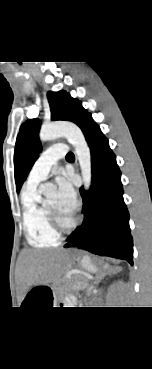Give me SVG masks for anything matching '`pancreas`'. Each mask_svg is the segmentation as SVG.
I'll list each match as a JSON object with an SVG mask.
<instances>
[{"instance_id":"obj_1","label":"pancreas","mask_w":152,"mask_h":369,"mask_svg":"<svg viewBox=\"0 0 152 369\" xmlns=\"http://www.w3.org/2000/svg\"><path fill=\"white\" fill-rule=\"evenodd\" d=\"M88 286V283L86 281V279L84 278H79L77 281H75L73 287H72V290L75 291V290H83L85 288H87Z\"/></svg>"}]
</instances>
